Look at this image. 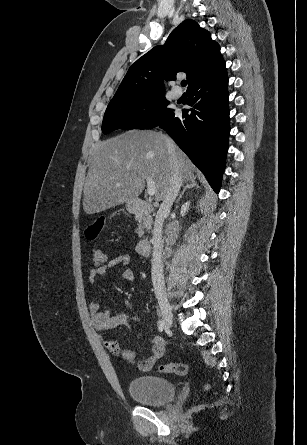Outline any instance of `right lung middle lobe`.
<instances>
[{"instance_id": "dd1d6c3e", "label": "right lung middle lobe", "mask_w": 307, "mask_h": 445, "mask_svg": "<svg viewBox=\"0 0 307 445\" xmlns=\"http://www.w3.org/2000/svg\"><path fill=\"white\" fill-rule=\"evenodd\" d=\"M168 104L164 93L112 99L104 114L102 132L154 128L173 113Z\"/></svg>"}]
</instances>
